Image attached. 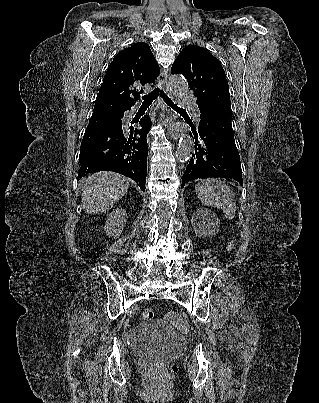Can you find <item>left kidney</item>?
I'll return each instance as SVG.
<instances>
[{
	"instance_id": "obj_1",
	"label": "left kidney",
	"mask_w": 319,
	"mask_h": 403,
	"mask_svg": "<svg viewBox=\"0 0 319 403\" xmlns=\"http://www.w3.org/2000/svg\"><path fill=\"white\" fill-rule=\"evenodd\" d=\"M196 214L202 220L203 224L204 225L206 224V226H208L211 219L216 223L217 226L219 225V221L216 214L211 210L201 208L196 211Z\"/></svg>"
}]
</instances>
